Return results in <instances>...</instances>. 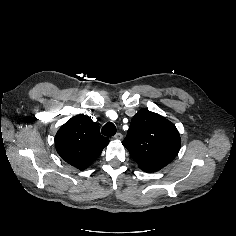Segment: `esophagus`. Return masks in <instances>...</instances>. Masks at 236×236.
Instances as JSON below:
<instances>
[{
	"mask_svg": "<svg viewBox=\"0 0 236 236\" xmlns=\"http://www.w3.org/2000/svg\"><path fill=\"white\" fill-rule=\"evenodd\" d=\"M122 138H123V135L121 133H116L113 136V139H115V140H122Z\"/></svg>",
	"mask_w": 236,
	"mask_h": 236,
	"instance_id": "1",
	"label": "esophagus"
}]
</instances>
